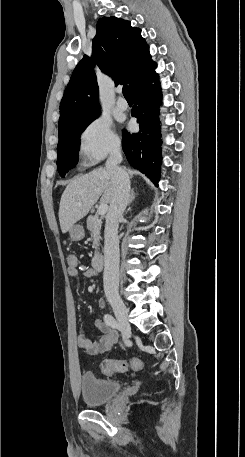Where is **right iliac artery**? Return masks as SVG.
Returning <instances> with one entry per match:
<instances>
[{
  "label": "right iliac artery",
  "mask_w": 245,
  "mask_h": 457,
  "mask_svg": "<svg viewBox=\"0 0 245 457\" xmlns=\"http://www.w3.org/2000/svg\"><path fill=\"white\" fill-rule=\"evenodd\" d=\"M104 321L107 325H109L110 327L112 328H116L117 327V324L118 322L116 321V319L114 318V316L110 315V314H106L104 316Z\"/></svg>",
  "instance_id": "right-iliac-artery-1"
}]
</instances>
